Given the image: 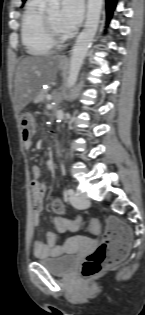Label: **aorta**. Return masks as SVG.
I'll return each instance as SVG.
<instances>
[{"label":"aorta","instance_id":"aorta-1","mask_svg":"<svg viewBox=\"0 0 145 315\" xmlns=\"http://www.w3.org/2000/svg\"><path fill=\"white\" fill-rule=\"evenodd\" d=\"M47 2L49 11H57L59 9V0H47ZM102 5L103 0H88L84 29L77 37L75 45L72 49L69 76L67 79L68 89H71L75 85L84 58L95 37L100 22Z\"/></svg>","mask_w":145,"mask_h":315}]
</instances>
